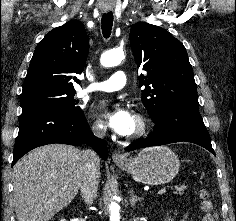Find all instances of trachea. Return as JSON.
I'll return each mask as SVG.
<instances>
[{
    "label": "trachea",
    "instance_id": "trachea-1",
    "mask_svg": "<svg viewBox=\"0 0 236 221\" xmlns=\"http://www.w3.org/2000/svg\"><path fill=\"white\" fill-rule=\"evenodd\" d=\"M113 26V13L108 12L102 16V33L103 36L107 39L111 35V30Z\"/></svg>",
    "mask_w": 236,
    "mask_h": 221
}]
</instances>
